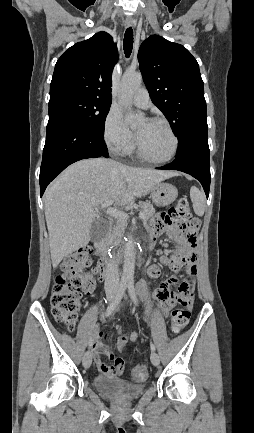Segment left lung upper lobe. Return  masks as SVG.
<instances>
[{"label": "left lung upper lobe", "mask_w": 254, "mask_h": 433, "mask_svg": "<svg viewBox=\"0 0 254 433\" xmlns=\"http://www.w3.org/2000/svg\"><path fill=\"white\" fill-rule=\"evenodd\" d=\"M138 61L152 102L178 138V150L194 141H208L204 84L191 53L180 44L152 35L141 44Z\"/></svg>", "instance_id": "left-lung-upper-lobe-1"}]
</instances>
